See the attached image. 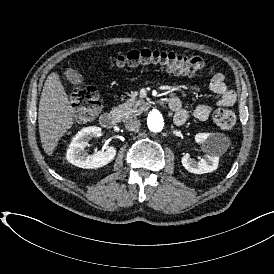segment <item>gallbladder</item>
<instances>
[{"instance_id": "bac80fb5", "label": "gallbladder", "mask_w": 274, "mask_h": 274, "mask_svg": "<svg viewBox=\"0 0 274 274\" xmlns=\"http://www.w3.org/2000/svg\"><path fill=\"white\" fill-rule=\"evenodd\" d=\"M64 78L70 84H79L82 81V73L78 68L70 67L65 71Z\"/></svg>"}]
</instances>
